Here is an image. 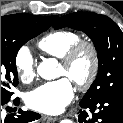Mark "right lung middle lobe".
Returning a JSON list of instances; mask_svg holds the SVG:
<instances>
[{
  "label": "right lung middle lobe",
  "instance_id": "1",
  "mask_svg": "<svg viewBox=\"0 0 123 123\" xmlns=\"http://www.w3.org/2000/svg\"><path fill=\"white\" fill-rule=\"evenodd\" d=\"M44 20L33 22L10 21L1 24V99H10L11 88L18 85L16 55L28 40L47 30Z\"/></svg>",
  "mask_w": 123,
  "mask_h": 123
}]
</instances>
